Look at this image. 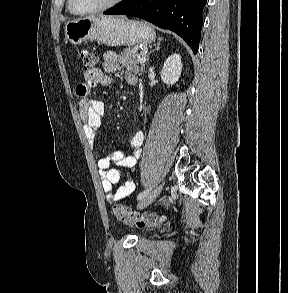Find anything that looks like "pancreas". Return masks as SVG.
Returning a JSON list of instances; mask_svg holds the SVG:
<instances>
[{"label": "pancreas", "instance_id": "pancreas-1", "mask_svg": "<svg viewBox=\"0 0 288 293\" xmlns=\"http://www.w3.org/2000/svg\"><path fill=\"white\" fill-rule=\"evenodd\" d=\"M137 56V49L128 47L121 52L118 61L126 69L141 75L144 71L145 64L138 61Z\"/></svg>", "mask_w": 288, "mask_h": 293}]
</instances>
